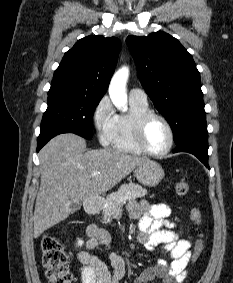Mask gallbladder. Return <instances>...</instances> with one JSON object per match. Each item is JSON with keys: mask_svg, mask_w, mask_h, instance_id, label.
Here are the masks:
<instances>
[{"mask_svg": "<svg viewBox=\"0 0 233 283\" xmlns=\"http://www.w3.org/2000/svg\"><path fill=\"white\" fill-rule=\"evenodd\" d=\"M80 207H81L80 203L79 204H77V203L72 204V210L73 211H78L80 209Z\"/></svg>", "mask_w": 233, "mask_h": 283, "instance_id": "gallbladder-1", "label": "gallbladder"}]
</instances>
